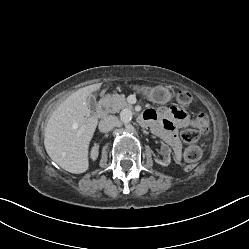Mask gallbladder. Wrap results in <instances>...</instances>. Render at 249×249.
<instances>
[{"instance_id": "obj_1", "label": "gallbladder", "mask_w": 249, "mask_h": 249, "mask_svg": "<svg viewBox=\"0 0 249 249\" xmlns=\"http://www.w3.org/2000/svg\"><path fill=\"white\" fill-rule=\"evenodd\" d=\"M88 105H89V108L92 110V111H95L96 108H97V103H96V98L94 95H90L88 97Z\"/></svg>"}]
</instances>
